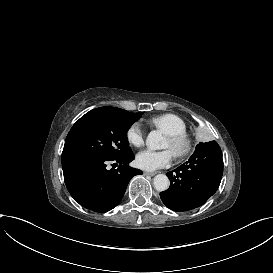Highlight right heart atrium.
I'll return each mask as SVG.
<instances>
[{"label": "right heart atrium", "mask_w": 273, "mask_h": 273, "mask_svg": "<svg viewBox=\"0 0 273 273\" xmlns=\"http://www.w3.org/2000/svg\"><path fill=\"white\" fill-rule=\"evenodd\" d=\"M128 141L134 146H141L144 143L145 131L138 123H132L126 132Z\"/></svg>", "instance_id": "right-heart-atrium-1"}]
</instances>
